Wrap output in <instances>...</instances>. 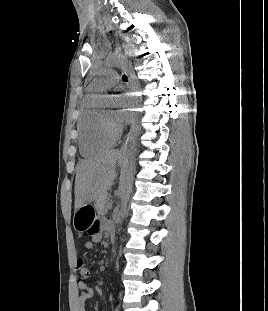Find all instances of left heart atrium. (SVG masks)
Masks as SVG:
<instances>
[{
    "mask_svg": "<svg viewBox=\"0 0 268 311\" xmlns=\"http://www.w3.org/2000/svg\"><path fill=\"white\" fill-rule=\"evenodd\" d=\"M116 98H122L125 97V95L123 94H117L115 95ZM125 104V102L119 101L118 105L121 106ZM129 109H118L115 113V120L119 123L122 124L123 122H125L128 119V115L125 113V111H127Z\"/></svg>",
    "mask_w": 268,
    "mask_h": 311,
    "instance_id": "1",
    "label": "left heart atrium"
}]
</instances>
